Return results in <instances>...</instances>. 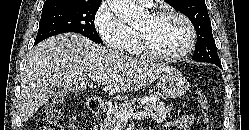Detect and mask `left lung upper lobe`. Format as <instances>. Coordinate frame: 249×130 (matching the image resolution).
<instances>
[{
  "instance_id": "obj_1",
  "label": "left lung upper lobe",
  "mask_w": 249,
  "mask_h": 130,
  "mask_svg": "<svg viewBox=\"0 0 249 130\" xmlns=\"http://www.w3.org/2000/svg\"><path fill=\"white\" fill-rule=\"evenodd\" d=\"M177 11L185 14L195 27L197 45L193 60L198 62L220 63L207 7L204 0H166Z\"/></svg>"
}]
</instances>
